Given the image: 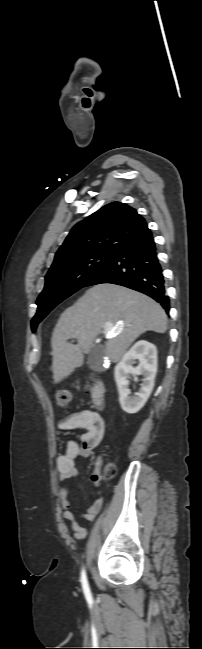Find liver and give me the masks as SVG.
I'll return each mask as SVG.
<instances>
[{"label": "liver", "mask_w": 202, "mask_h": 649, "mask_svg": "<svg viewBox=\"0 0 202 649\" xmlns=\"http://www.w3.org/2000/svg\"><path fill=\"white\" fill-rule=\"evenodd\" d=\"M110 324L104 354L118 362L142 333H165L167 315L152 298L116 284H99L88 289L60 316L51 339L53 380L57 384L84 361L102 329ZM77 339V345L68 342Z\"/></svg>", "instance_id": "6515ba94"}]
</instances>
